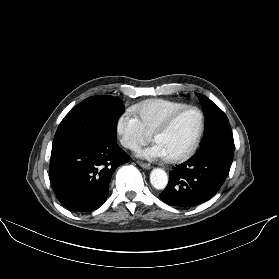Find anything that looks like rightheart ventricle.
I'll return each instance as SVG.
<instances>
[{"mask_svg": "<svg viewBox=\"0 0 279 279\" xmlns=\"http://www.w3.org/2000/svg\"><path fill=\"white\" fill-rule=\"evenodd\" d=\"M187 104L166 99H150L133 106L144 129L153 132L164 122V120L177 109Z\"/></svg>", "mask_w": 279, "mask_h": 279, "instance_id": "obj_1", "label": "right heart ventricle"}]
</instances>
